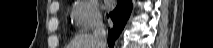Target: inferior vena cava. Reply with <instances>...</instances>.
I'll list each match as a JSON object with an SVG mask.
<instances>
[{
  "label": "inferior vena cava",
  "instance_id": "obj_1",
  "mask_svg": "<svg viewBox=\"0 0 213 48\" xmlns=\"http://www.w3.org/2000/svg\"><path fill=\"white\" fill-rule=\"evenodd\" d=\"M92 32L96 48H106V30L100 13H97L94 17Z\"/></svg>",
  "mask_w": 213,
  "mask_h": 48
}]
</instances>
